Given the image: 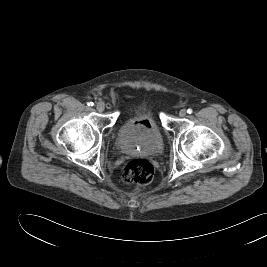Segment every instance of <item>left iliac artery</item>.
<instances>
[{
	"label": "left iliac artery",
	"mask_w": 267,
	"mask_h": 267,
	"mask_svg": "<svg viewBox=\"0 0 267 267\" xmlns=\"http://www.w3.org/2000/svg\"><path fill=\"white\" fill-rule=\"evenodd\" d=\"M187 113L192 114V113H193V110H192L191 108H189V109L187 110Z\"/></svg>",
	"instance_id": "44dca946"
}]
</instances>
